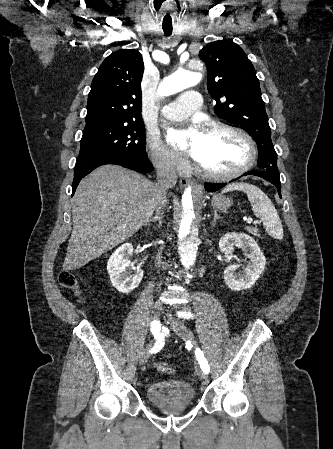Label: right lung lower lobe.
Returning <instances> with one entry per match:
<instances>
[{"label":"right lung lower lobe","mask_w":333,"mask_h":449,"mask_svg":"<svg viewBox=\"0 0 333 449\" xmlns=\"http://www.w3.org/2000/svg\"><path fill=\"white\" fill-rule=\"evenodd\" d=\"M105 164L120 165L140 173H149L153 171V165L147 157L127 158L121 155L106 154L78 156L75 166L72 195L75 193V190L83 177L88 175L95 168Z\"/></svg>","instance_id":"98d812e1"}]
</instances>
